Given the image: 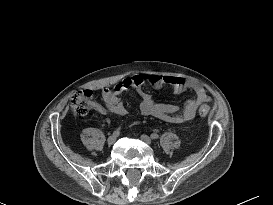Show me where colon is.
<instances>
[{"mask_svg": "<svg viewBox=\"0 0 273 205\" xmlns=\"http://www.w3.org/2000/svg\"><path fill=\"white\" fill-rule=\"evenodd\" d=\"M70 106L73 111L80 116L87 114L95 104V93L92 90H80L70 96ZM201 116H207L209 109L206 106L199 108Z\"/></svg>", "mask_w": 273, "mask_h": 205, "instance_id": "colon-1", "label": "colon"}]
</instances>
